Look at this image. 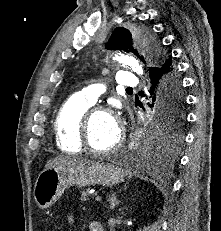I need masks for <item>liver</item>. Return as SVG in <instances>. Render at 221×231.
<instances>
[{
    "instance_id": "liver-1",
    "label": "liver",
    "mask_w": 221,
    "mask_h": 231,
    "mask_svg": "<svg viewBox=\"0 0 221 231\" xmlns=\"http://www.w3.org/2000/svg\"><path fill=\"white\" fill-rule=\"evenodd\" d=\"M83 162H91V161H87L81 158L71 157V156H58L56 158L49 160L45 166V169L69 166V165L79 164Z\"/></svg>"
}]
</instances>
